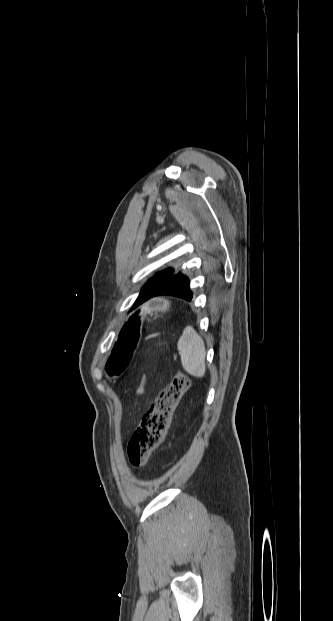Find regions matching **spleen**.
Masks as SVG:
<instances>
[{"label": "spleen", "mask_w": 333, "mask_h": 621, "mask_svg": "<svg viewBox=\"0 0 333 621\" xmlns=\"http://www.w3.org/2000/svg\"><path fill=\"white\" fill-rule=\"evenodd\" d=\"M177 349L185 371L192 376L203 377L206 372L205 344L193 327H187L184 330L178 341Z\"/></svg>", "instance_id": "1"}]
</instances>
